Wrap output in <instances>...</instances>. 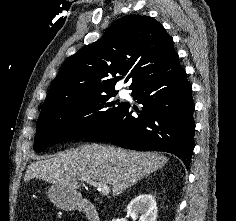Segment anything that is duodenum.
<instances>
[{
	"mask_svg": "<svg viewBox=\"0 0 236 221\" xmlns=\"http://www.w3.org/2000/svg\"><path fill=\"white\" fill-rule=\"evenodd\" d=\"M79 210L86 215L88 221H100L98 210L92 201H81L79 204Z\"/></svg>",
	"mask_w": 236,
	"mask_h": 221,
	"instance_id": "1",
	"label": "duodenum"
}]
</instances>
